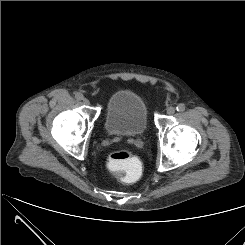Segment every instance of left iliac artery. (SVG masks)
Wrapping results in <instances>:
<instances>
[{"mask_svg":"<svg viewBox=\"0 0 245 245\" xmlns=\"http://www.w3.org/2000/svg\"><path fill=\"white\" fill-rule=\"evenodd\" d=\"M176 110L178 112H183L185 110V105L184 104H179L177 107H176Z\"/></svg>","mask_w":245,"mask_h":245,"instance_id":"obj_1","label":"left iliac artery"}]
</instances>
